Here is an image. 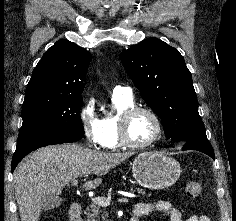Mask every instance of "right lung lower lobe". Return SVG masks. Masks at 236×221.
<instances>
[{
	"mask_svg": "<svg viewBox=\"0 0 236 221\" xmlns=\"http://www.w3.org/2000/svg\"><path fill=\"white\" fill-rule=\"evenodd\" d=\"M82 138L81 135L69 133L66 131H50V130H39L29 132L23 136H19L17 140L16 151L12 158L13 172L17 164L30 152L41 148L43 146L70 143L78 141Z\"/></svg>",
	"mask_w": 236,
	"mask_h": 221,
	"instance_id": "98d812e1",
	"label": "right lung lower lobe"
}]
</instances>
